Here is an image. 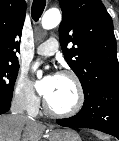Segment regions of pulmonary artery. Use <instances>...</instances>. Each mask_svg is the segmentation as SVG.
<instances>
[{"label": "pulmonary artery", "mask_w": 119, "mask_h": 141, "mask_svg": "<svg viewBox=\"0 0 119 141\" xmlns=\"http://www.w3.org/2000/svg\"><path fill=\"white\" fill-rule=\"evenodd\" d=\"M59 48V43L56 38H49L36 49V52L42 56H52L54 55Z\"/></svg>", "instance_id": "pulmonary-artery-1"}]
</instances>
